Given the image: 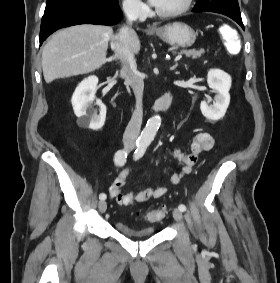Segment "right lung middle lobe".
<instances>
[{"label": "right lung middle lobe", "mask_w": 280, "mask_h": 283, "mask_svg": "<svg viewBox=\"0 0 280 283\" xmlns=\"http://www.w3.org/2000/svg\"><path fill=\"white\" fill-rule=\"evenodd\" d=\"M117 0H47L45 12L62 7H108Z\"/></svg>", "instance_id": "1"}]
</instances>
